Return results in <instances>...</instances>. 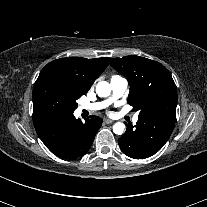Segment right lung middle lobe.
Segmentation results:
<instances>
[{"instance_id":"right-lung-middle-lobe-1","label":"right lung middle lobe","mask_w":207,"mask_h":207,"mask_svg":"<svg viewBox=\"0 0 207 207\" xmlns=\"http://www.w3.org/2000/svg\"><path fill=\"white\" fill-rule=\"evenodd\" d=\"M81 97L54 76H44L33 88V114H72Z\"/></svg>"}]
</instances>
